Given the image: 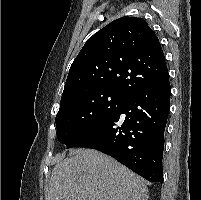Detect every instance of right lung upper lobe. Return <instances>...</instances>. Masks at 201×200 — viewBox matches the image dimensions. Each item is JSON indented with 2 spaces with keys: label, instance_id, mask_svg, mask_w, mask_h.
<instances>
[{
  "label": "right lung upper lobe",
  "instance_id": "cb5924a9",
  "mask_svg": "<svg viewBox=\"0 0 201 200\" xmlns=\"http://www.w3.org/2000/svg\"><path fill=\"white\" fill-rule=\"evenodd\" d=\"M167 73L160 42L147 22L122 17L87 40L70 67L61 102L93 91L129 96Z\"/></svg>",
  "mask_w": 201,
  "mask_h": 200
}]
</instances>
